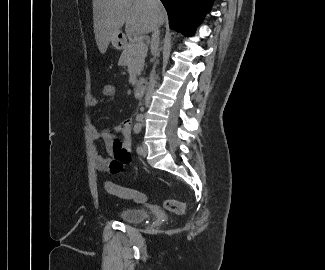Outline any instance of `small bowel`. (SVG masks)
<instances>
[{"instance_id": "small-bowel-1", "label": "small bowel", "mask_w": 325, "mask_h": 270, "mask_svg": "<svg viewBox=\"0 0 325 270\" xmlns=\"http://www.w3.org/2000/svg\"><path fill=\"white\" fill-rule=\"evenodd\" d=\"M109 101H114V99H109V96H104ZM101 99L96 96H91L88 98V105L94 107L100 103ZM132 119H127L124 122L116 125L110 129L100 131L97 127L92 124L90 127V137L92 141H97L102 139L105 143L109 158L102 156L96 147L92 150L93 160L95 167L99 171L112 173H119L123 168L131 163L132 156L130 153L132 145ZM119 136V138H117Z\"/></svg>"}]
</instances>
